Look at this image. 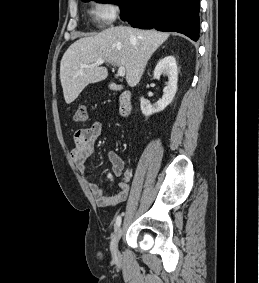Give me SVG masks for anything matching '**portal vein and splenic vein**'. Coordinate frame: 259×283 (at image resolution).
Segmentation results:
<instances>
[{
    "mask_svg": "<svg viewBox=\"0 0 259 283\" xmlns=\"http://www.w3.org/2000/svg\"><path fill=\"white\" fill-rule=\"evenodd\" d=\"M104 62H105V59L100 58L93 64V66L102 65ZM118 75L120 77H124L125 76V68L124 67L121 66V67L118 68Z\"/></svg>",
    "mask_w": 259,
    "mask_h": 283,
    "instance_id": "1",
    "label": "portal vein and splenic vein"
}]
</instances>
